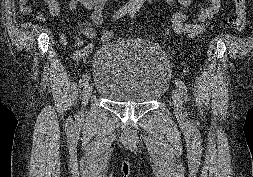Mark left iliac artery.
Here are the masks:
<instances>
[{"label": "left iliac artery", "instance_id": "obj_1", "mask_svg": "<svg viewBox=\"0 0 253 177\" xmlns=\"http://www.w3.org/2000/svg\"><path fill=\"white\" fill-rule=\"evenodd\" d=\"M137 11V8H134L131 12V18L135 15ZM176 86L178 87L179 91L181 92V94L184 96L185 101L189 100L188 94H187V86L185 85V83L181 80V79H176L175 80Z\"/></svg>", "mask_w": 253, "mask_h": 177}]
</instances>
